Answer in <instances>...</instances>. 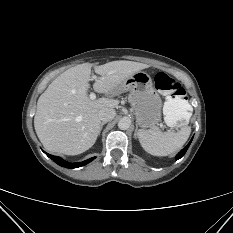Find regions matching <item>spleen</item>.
Returning a JSON list of instances; mask_svg holds the SVG:
<instances>
[{"label": "spleen", "instance_id": "3e777b00", "mask_svg": "<svg viewBox=\"0 0 233 233\" xmlns=\"http://www.w3.org/2000/svg\"><path fill=\"white\" fill-rule=\"evenodd\" d=\"M191 110L187 101L169 98L163 106L164 120L168 126L184 121L183 126L178 132L162 133L157 128L138 130L137 137L145 151L155 156H167L178 151L190 135L187 123L192 116Z\"/></svg>", "mask_w": 233, "mask_h": 233}]
</instances>
